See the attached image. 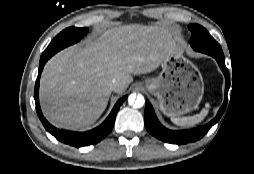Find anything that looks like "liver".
I'll use <instances>...</instances> for the list:
<instances>
[{"instance_id": "liver-1", "label": "liver", "mask_w": 254, "mask_h": 174, "mask_svg": "<svg viewBox=\"0 0 254 174\" xmlns=\"http://www.w3.org/2000/svg\"><path fill=\"white\" fill-rule=\"evenodd\" d=\"M177 49L171 32L160 26L123 25L105 31L84 47L71 46L53 56L40 80V104L56 127L82 130L104 112L113 79L121 94L133 81L159 67Z\"/></svg>"}]
</instances>
